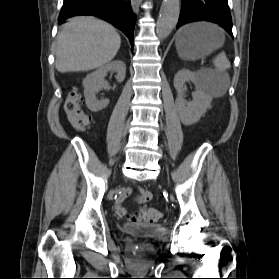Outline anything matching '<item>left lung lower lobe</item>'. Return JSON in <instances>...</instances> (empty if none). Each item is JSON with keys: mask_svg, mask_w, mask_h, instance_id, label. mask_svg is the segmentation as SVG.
I'll return each mask as SVG.
<instances>
[{"mask_svg": "<svg viewBox=\"0 0 279 279\" xmlns=\"http://www.w3.org/2000/svg\"><path fill=\"white\" fill-rule=\"evenodd\" d=\"M195 21L217 23L233 37L227 0H182L177 28Z\"/></svg>", "mask_w": 279, "mask_h": 279, "instance_id": "1", "label": "left lung lower lobe"}]
</instances>
